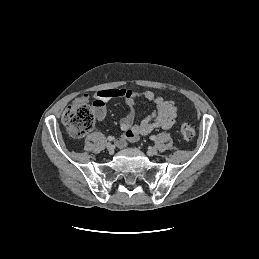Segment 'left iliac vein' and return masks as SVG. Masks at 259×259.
<instances>
[{
	"label": "left iliac vein",
	"instance_id": "left-iliac-vein-1",
	"mask_svg": "<svg viewBox=\"0 0 259 259\" xmlns=\"http://www.w3.org/2000/svg\"><path fill=\"white\" fill-rule=\"evenodd\" d=\"M157 153H158V150H157L156 147H150V148L148 149V154H149V155H156Z\"/></svg>",
	"mask_w": 259,
	"mask_h": 259
}]
</instances>
